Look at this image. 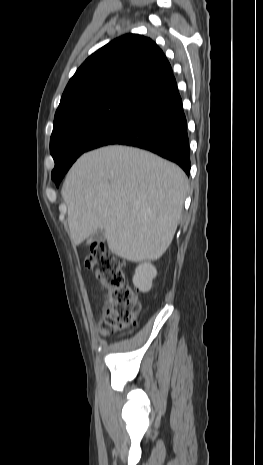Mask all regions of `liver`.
<instances>
[{
    "label": "liver",
    "instance_id": "obj_1",
    "mask_svg": "<svg viewBox=\"0 0 263 465\" xmlns=\"http://www.w3.org/2000/svg\"><path fill=\"white\" fill-rule=\"evenodd\" d=\"M187 189L182 169L153 153L121 145L85 153L62 187L72 242L104 229L117 256L157 260L173 240Z\"/></svg>",
    "mask_w": 263,
    "mask_h": 465
}]
</instances>
